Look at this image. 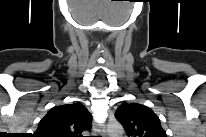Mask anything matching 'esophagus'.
<instances>
[{"label": "esophagus", "mask_w": 206, "mask_h": 137, "mask_svg": "<svg viewBox=\"0 0 206 137\" xmlns=\"http://www.w3.org/2000/svg\"><path fill=\"white\" fill-rule=\"evenodd\" d=\"M100 129H101L102 137H106L107 134H106V129H105V127H104V126H101Z\"/></svg>", "instance_id": "esophagus-1"}]
</instances>
